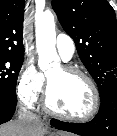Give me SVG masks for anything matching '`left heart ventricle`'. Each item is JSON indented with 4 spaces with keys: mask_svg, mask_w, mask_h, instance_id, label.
Listing matches in <instances>:
<instances>
[{
    "mask_svg": "<svg viewBox=\"0 0 117 136\" xmlns=\"http://www.w3.org/2000/svg\"><path fill=\"white\" fill-rule=\"evenodd\" d=\"M52 107L69 116L87 114L93 95L87 82L80 76L66 74L62 67L48 75Z\"/></svg>",
    "mask_w": 117,
    "mask_h": 136,
    "instance_id": "left-heart-ventricle-1",
    "label": "left heart ventricle"
}]
</instances>
